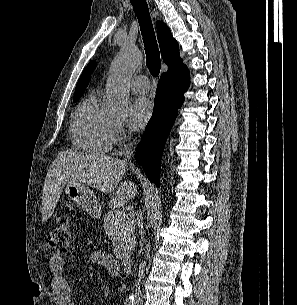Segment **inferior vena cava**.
<instances>
[{
  "instance_id": "obj_1",
  "label": "inferior vena cava",
  "mask_w": 297,
  "mask_h": 305,
  "mask_svg": "<svg viewBox=\"0 0 297 305\" xmlns=\"http://www.w3.org/2000/svg\"><path fill=\"white\" fill-rule=\"evenodd\" d=\"M137 220H138V226H139V233L141 235V239L143 240V217H142V211L139 210L138 213H137ZM143 245H144V242H140V250H139V255L141 254V252L144 251L143 249ZM144 267H145V262H141L140 265H139V268H138V278L136 280V284H135V290H134V299H135V302L137 303H142V292H141V289H140V283H141V279L142 277L144 276Z\"/></svg>"
}]
</instances>
